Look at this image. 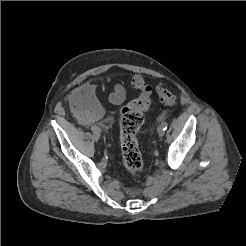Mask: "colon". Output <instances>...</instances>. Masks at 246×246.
Listing matches in <instances>:
<instances>
[{
  "label": "colon",
  "mask_w": 246,
  "mask_h": 246,
  "mask_svg": "<svg viewBox=\"0 0 246 246\" xmlns=\"http://www.w3.org/2000/svg\"><path fill=\"white\" fill-rule=\"evenodd\" d=\"M132 85L140 91L139 97L124 106L120 116V145L125 168L131 174L143 169V158L138 148L137 133L144 123V114L151 106L152 87L141 75H135ZM156 93L161 102L174 106L176 96L163 84L156 85Z\"/></svg>",
  "instance_id": "obj_1"
}]
</instances>
